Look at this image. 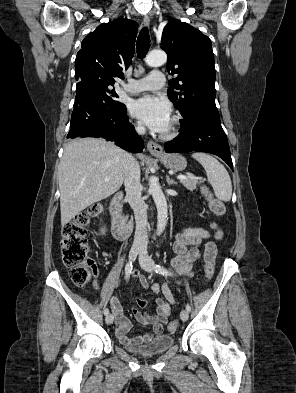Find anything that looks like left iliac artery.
Listing matches in <instances>:
<instances>
[{
    "mask_svg": "<svg viewBox=\"0 0 296 393\" xmlns=\"http://www.w3.org/2000/svg\"><path fill=\"white\" fill-rule=\"evenodd\" d=\"M154 269H155V272L158 274H161L163 276H169V275L171 276V273L166 268L161 266L160 264H155ZM186 310L188 312L191 311V306L189 304L186 305Z\"/></svg>",
    "mask_w": 296,
    "mask_h": 393,
    "instance_id": "1",
    "label": "left iliac artery"
}]
</instances>
